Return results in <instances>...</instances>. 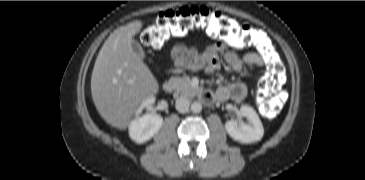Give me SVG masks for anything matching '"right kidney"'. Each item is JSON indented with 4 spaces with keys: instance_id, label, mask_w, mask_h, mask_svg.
Returning a JSON list of instances; mask_svg holds the SVG:
<instances>
[{
    "instance_id": "1",
    "label": "right kidney",
    "mask_w": 365,
    "mask_h": 180,
    "mask_svg": "<svg viewBox=\"0 0 365 180\" xmlns=\"http://www.w3.org/2000/svg\"><path fill=\"white\" fill-rule=\"evenodd\" d=\"M155 101L154 97H150L142 102L137 110L139 114L142 108H148ZM163 124V118L154 113H146L141 117H137L130 123L129 135L132 140L137 143H144L150 140L158 131Z\"/></svg>"
}]
</instances>
